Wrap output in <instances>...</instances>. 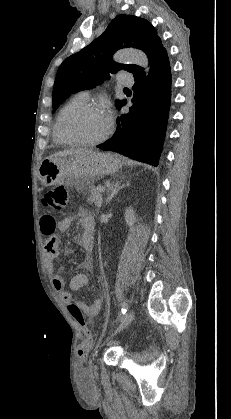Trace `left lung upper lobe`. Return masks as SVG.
<instances>
[{
    "label": "left lung upper lobe",
    "mask_w": 231,
    "mask_h": 419,
    "mask_svg": "<svg viewBox=\"0 0 231 419\" xmlns=\"http://www.w3.org/2000/svg\"><path fill=\"white\" fill-rule=\"evenodd\" d=\"M127 47L144 51L149 65L166 51L151 23L143 18L121 14L111 21L101 36L60 65L53 88L52 107L55 109L73 93L102 83L109 73L122 69L133 76L142 73L143 68L140 66L113 62V54ZM120 103L116 101V106Z\"/></svg>",
    "instance_id": "5c2ea615"
}]
</instances>
